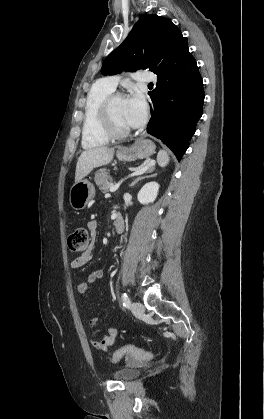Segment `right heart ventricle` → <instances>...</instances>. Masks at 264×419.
Masks as SVG:
<instances>
[{"label": "right heart ventricle", "instance_id": "1", "mask_svg": "<svg viewBox=\"0 0 264 419\" xmlns=\"http://www.w3.org/2000/svg\"><path fill=\"white\" fill-rule=\"evenodd\" d=\"M114 90L102 81L95 83L88 91L82 126V147L93 149L107 144L110 137L105 133L101 122V105Z\"/></svg>", "mask_w": 264, "mask_h": 419}]
</instances>
